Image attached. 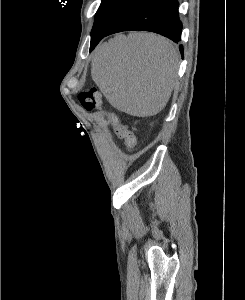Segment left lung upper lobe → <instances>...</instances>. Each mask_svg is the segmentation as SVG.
<instances>
[{
	"label": "left lung upper lobe",
	"mask_w": 245,
	"mask_h": 300,
	"mask_svg": "<svg viewBox=\"0 0 245 300\" xmlns=\"http://www.w3.org/2000/svg\"><path fill=\"white\" fill-rule=\"evenodd\" d=\"M141 0H102L95 14V22L91 33H105L113 23L128 9Z\"/></svg>",
	"instance_id": "left-lung-upper-lobe-1"
}]
</instances>
